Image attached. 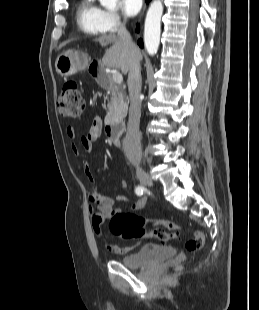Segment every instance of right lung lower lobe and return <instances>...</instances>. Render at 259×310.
I'll use <instances>...</instances> for the list:
<instances>
[{
    "label": "right lung lower lobe",
    "mask_w": 259,
    "mask_h": 310,
    "mask_svg": "<svg viewBox=\"0 0 259 310\" xmlns=\"http://www.w3.org/2000/svg\"><path fill=\"white\" fill-rule=\"evenodd\" d=\"M147 2H149L150 0H146ZM137 31H139V25H137ZM138 44L140 47H143V41L141 39L138 40Z\"/></svg>",
    "instance_id": "98d812e1"
}]
</instances>
